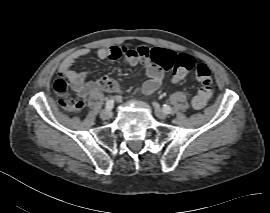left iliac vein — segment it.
<instances>
[{"mask_svg":"<svg viewBox=\"0 0 270 213\" xmlns=\"http://www.w3.org/2000/svg\"><path fill=\"white\" fill-rule=\"evenodd\" d=\"M154 111H155V115L161 119V120H165L166 119V114L164 113V111L161 109V107L159 106L158 103L153 102L152 103Z\"/></svg>","mask_w":270,"mask_h":213,"instance_id":"1","label":"left iliac vein"}]
</instances>
